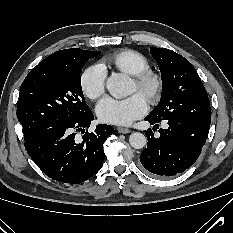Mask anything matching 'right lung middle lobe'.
<instances>
[{"label": "right lung middle lobe", "instance_id": "right-lung-middle-lobe-1", "mask_svg": "<svg viewBox=\"0 0 233 233\" xmlns=\"http://www.w3.org/2000/svg\"><path fill=\"white\" fill-rule=\"evenodd\" d=\"M100 51H57L35 66L23 81L17 118L28 140L40 131L73 123L91 110L81 88L82 67Z\"/></svg>", "mask_w": 233, "mask_h": 233}]
</instances>
